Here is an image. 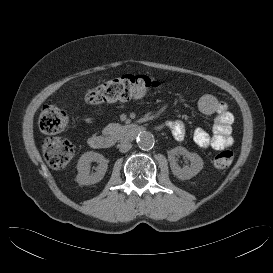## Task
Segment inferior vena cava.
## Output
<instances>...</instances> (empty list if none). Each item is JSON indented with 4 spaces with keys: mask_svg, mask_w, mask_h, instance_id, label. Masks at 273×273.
Segmentation results:
<instances>
[{
    "mask_svg": "<svg viewBox=\"0 0 273 273\" xmlns=\"http://www.w3.org/2000/svg\"><path fill=\"white\" fill-rule=\"evenodd\" d=\"M119 151L122 153L128 152L132 148V144L128 141H123L118 145Z\"/></svg>",
    "mask_w": 273,
    "mask_h": 273,
    "instance_id": "obj_1",
    "label": "inferior vena cava"
}]
</instances>
